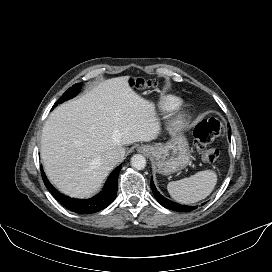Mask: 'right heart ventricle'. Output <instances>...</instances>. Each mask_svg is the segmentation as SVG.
I'll list each match as a JSON object with an SVG mask.
<instances>
[{
	"label": "right heart ventricle",
	"mask_w": 272,
	"mask_h": 272,
	"mask_svg": "<svg viewBox=\"0 0 272 272\" xmlns=\"http://www.w3.org/2000/svg\"><path fill=\"white\" fill-rule=\"evenodd\" d=\"M182 103V100L174 95L165 96L160 102V109L163 112H170L177 109Z\"/></svg>",
	"instance_id": "obj_1"
}]
</instances>
